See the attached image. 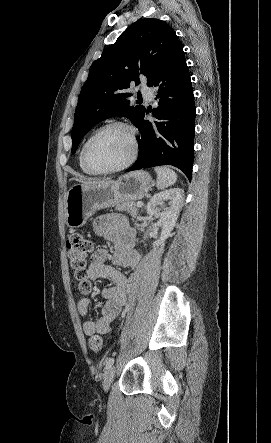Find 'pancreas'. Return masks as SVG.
Masks as SVG:
<instances>
[{
  "instance_id": "cf45deb5",
  "label": "pancreas",
  "mask_w": 271,
  "mask_h": 443,
  "mask_svg": "<svg viewBox=\"0 0 271 443\" xmlns=\"http://www.w3.org/2000/svg\"><path fill=\"white\" fill-rule=\"evenodd\" d=\"M116 210H119V212H128L132 218H136L138 214V208L135 204V202H119V204H116Z\"/></svg>"
}]
</instances>
